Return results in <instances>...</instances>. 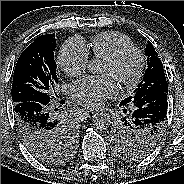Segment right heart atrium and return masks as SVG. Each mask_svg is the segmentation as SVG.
<instances>
[{
    "mask_svg": "<svg viewBox=\"0 0 184 184\" xmlns=\"http://www.w3.org/2000/svg\"><path fill=\"white\" fill-rule=\"evenodd\" d=\"M89 52L85 42L79 37L68 39L60 48L57 63L70 77L82 74L88 65Z\"/></svg>",
    "mask_w": 184,
    "mask_h": 184,
    "instance_id": "d8ad5b80",
    "label": "right heart atrium"
}]
</instances>
